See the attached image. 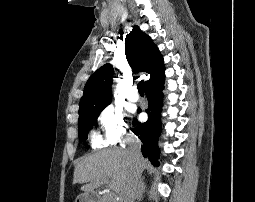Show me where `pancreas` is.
<instances>
[{
  "label": "pancreas",
  "mask_w": 255,
  "mask_h": 202,
  "mask_svg": "<svg viewBox=\"0 0 255 202\" xmlns=\"http://www.w3.org/2000/svg\"><path fill=\"white\" fill-rule=\"evenodd\" d=\"M100 202H115V200L113 199V197L105 195L101 198Z\"/></svg>",
  "instance_id": "obj_1"
}]
</instances>
